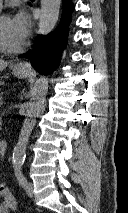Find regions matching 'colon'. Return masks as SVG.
I'll list each match as a JSON object with an SVG mask.
<instances>
[{
	"mask_svg": "<svg viewBox=\"0 0 128 213\" xmlns=\"http://www.w3.org/2000/svg\"><path fill=\"white\" fill-rule=\"evenodd\" d=\"M0 196L3 198L5 205L10 211L17 209V202L10 191L9 187L5 183L0 182Z\"/></svg>",
	"mask_w": 128,
	"mask_h": 213,
	"instance_id": "obj_1",
	"label": "colon"
}]
</instances>
